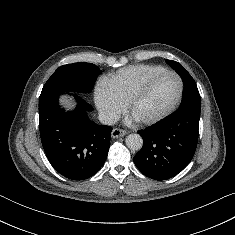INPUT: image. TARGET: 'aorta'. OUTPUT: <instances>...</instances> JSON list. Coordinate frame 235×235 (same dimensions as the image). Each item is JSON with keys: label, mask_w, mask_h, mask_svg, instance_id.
Here are the masks:
<instances>
[{"label": "aorta", "mask_w": 235, "mask_h": 235, "mask_svg": "<svg viewBox=\"0 0 235 235\" xmlns=\"http://www.w3.org/2000/svg\"><path fill=\"white\" fill-rule=\"evenodd\" d=\"M126 145L133 151H138L143 146V139L139 134H130L126 137Z\"/></svg>", "instance_id": "aorta-1"}]
</instances>
